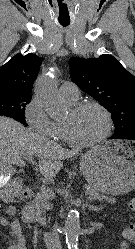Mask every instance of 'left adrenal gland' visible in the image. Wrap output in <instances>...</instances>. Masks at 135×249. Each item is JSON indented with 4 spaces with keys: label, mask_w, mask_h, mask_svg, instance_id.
<instances>
[{
    "label": "left adrenal gland",
    "mask_w": 135,
    "mask_h": 249,
    "mask_svg": "<svg viewBox=\"0 0 135 249\" xmlns=\"http://www.w3.org/2000/svg\"><path fill=\"white\" fill-rule=\"evenodd\" d=\"M86 207H88L89 211H99V210H101V207L88 205V203H86Z\"/></svg>",
    "instance_id": "obj_1"
}]
</instances>
